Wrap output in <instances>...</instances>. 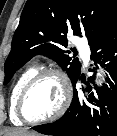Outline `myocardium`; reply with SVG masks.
Segmentation results:
<instances>
[{
    "label": "myocardium",
    "instance_id": "f54148a6",
    "mask_svg": "<svg viewBox=\"0 0 117 136\" xmlns=\"http://www.w3.org/2000/svg\"><path fill=\"white\" fill-rule=\"evenodd\" d=\"M48 76H54L60 81L62 89L61 103L57 110L48 117L41 119H28L23 111L25 98L36 83H38L41 79ZM70 100H71V85L66 73L63 70L55 67L45 68L34 74L33 77L30 78V80L25 84V86L21 90L16 106V115L21 121L27 124H44L52 122L58 119L66 111L67 107L70 104Z\"/></svg>",
    "mask_w": 117,
    "mask_h": 136
}]
</instances>
